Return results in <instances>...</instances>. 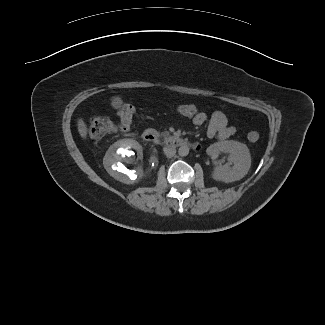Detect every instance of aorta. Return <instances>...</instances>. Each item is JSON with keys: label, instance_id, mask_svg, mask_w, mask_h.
<instances>
[{"label": "aorta", "instance_id": "aorta-1", "mask_svg": "<svg viewBox=\"0 0 325 325\" xmlns=\"http://www.w3.org/2000/svg\"><path fill=\"white\" fill-rule=\"evenodd\" d=\"M189 153V147L186 145H182L179 149H178V154L180 156H187Z\"/></svg>", "mask_w": 325, "mask_h": 325}]
</instances>
